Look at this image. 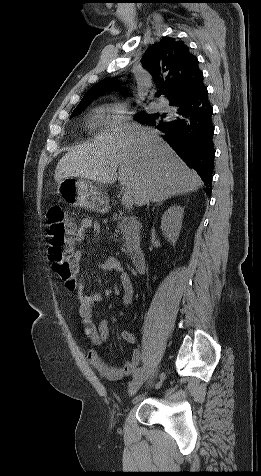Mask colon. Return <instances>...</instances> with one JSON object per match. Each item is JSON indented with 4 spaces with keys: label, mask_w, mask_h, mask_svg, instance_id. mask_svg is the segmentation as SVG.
<instances>
[{
    "label": "colon",
    "mask_w": 261,
    "mask_h": 476,
    "mask_svg": "<svg viewBox=\"0 0 261 476\" xmlns=\"http://www.w3.org/2000/svg\"><path fill=\"white\" fill-rule=\"evenodd\" d=\"M47 250L53 270L64 284L74 289L76 268L71 261L72 241L76 232L75 224L67 218L60 206H52L47 212Z\"/></svg>",
    "instance_id": "colon-1"
}]
</instances>
